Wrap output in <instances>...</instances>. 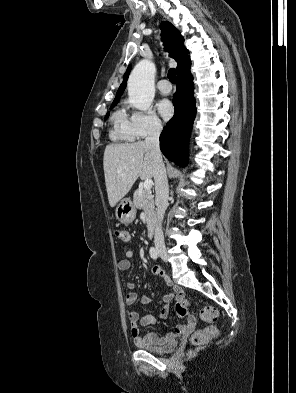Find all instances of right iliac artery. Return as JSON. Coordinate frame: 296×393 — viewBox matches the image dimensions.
<instances>
[{
  "label": "right iliac artery",
  "instance_id": "obj_1",
  "mask_svg": "<svg viewBox=\"0 0 296 393\" xmlns=\"http://www.w3.org/2000/svg\"><path fill=\"white\" fill-rule=\"evenodd\" d=\"M149 253H150L151 258H153L154 260H156L158 258L157 250L154 247L150 248Z\"/></svg>",
  "mask_w": 296,
  "mask_h": 393
}]
</instances>
